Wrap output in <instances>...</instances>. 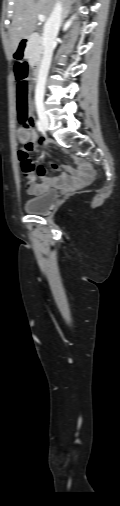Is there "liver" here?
<instances>
[{"label":"liver","mask_w":120,"mask_h":506,"mask_svg":"<svg viewBox=\"0 0 120 506\" xmlns=\"http://www.w3.org/2000/svg\"><path fill=\"white\" fill-rule=\"evenodd\" d=\"M57 0H15L14 14L10 28L11 50L14 53L20 41L36 28L37 15L50 17ZM65 5L71 0H61Z\"/></svg>","instance_id":"liver-1"}]
</instances>
